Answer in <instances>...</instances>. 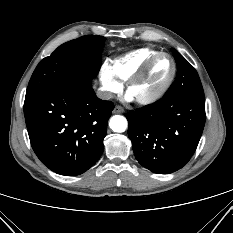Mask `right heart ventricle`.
Listing matches in <instances>:
<instances>
[{
	"instance_id": "e07e8e85",
	"label": "right heart ventricle",
	"mask_w": 233,
	"mask_h": 233,
	"mask_svg": "<svg viewBox=\"0 0 233 233\" xmlns=\"http://www.w3.org/2000/svg\"><path fill=\"white\" fill-rule=\"evenodd\" d=\"M158 53L155 49L141 48L112 60L109 68L123 84Z\"/></svg>"
}]
</instances>
